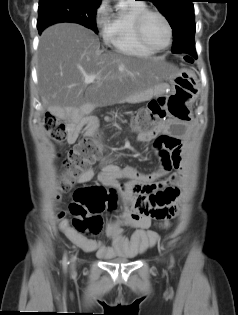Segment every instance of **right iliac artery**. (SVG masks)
Instances as JSON below:
<instances>
[{"label":"right iliac artery","mask_w":238,"mask_h":315,"mask_svg":"<svg viewBox=\"0 0 238 315\" xmlns=\"http://www.w3.org/2000/svg\"><path fill=\"white\" fill-rule=\"evenodd\" d=\"M62 264H63L64 269H66V267H67V256H66V254L63 257Z\"/></svg>","instance_id":"right-iliac-artery-1"}]
</instances>
